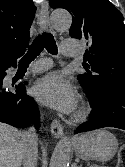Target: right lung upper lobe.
<instances>
[{
	"label": "right lung upper lobe",
	"mask_w": 125,
	"mask_h": 167,
	"mask_svg": "<svg viewBox=\"0 0 125 167\" xmlns=\"http://www.w3.org/2000/svg\"><path fill=\"white\" fill-rule=\"evenodd\" d=\"M35 10L32 0H0V67L23 55Z\"/></svg>",
	"instance_id": "1"
}]
</instances>
